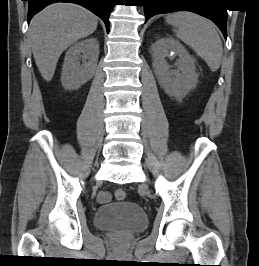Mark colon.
<instances>
[{
  "mask_svg": "<svg viewBox=\"0 0 259 266\" xmlns=\"http://www.w3.org/2000/svg\"><path fill=\"white\" fill-rule=\"evenodd\" d=\"M115 198L118 200V201H122L126 198V192L125 190L123 189H117L115 191Z\"/></svg>",
  "mask_w": 259,
  "mask_h": 266,
  "instance_id": "colon-1",
  "label": "colon"
}]
</instances>
